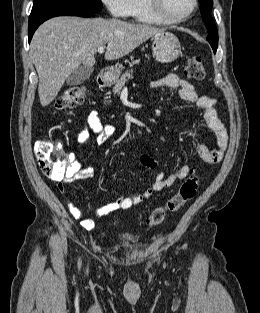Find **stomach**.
<instances>
[{
    "mask_svg": "<svg viewBox=\"0 0 260 313\" xmlns=\"http://www.w3.org/2000/svg\"><path fill=\"white\" fill-rule=\"evenodd\" d=\"M152 50L155 57L164 63H170L178 58L181 53V45L178 38L171 32L157 33L153 39ZM120 75V69L114 68L105 73V79L115 81Z\"/></svg>",
    "mask_w": 260,
    "mask_h": 313,
    "instance_id": "0dacf381",
    "label": "stomach"
}]
</instances>
